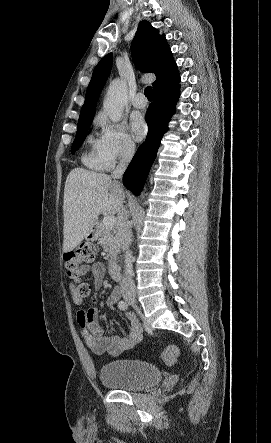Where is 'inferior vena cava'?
Returning <instances> with one entry per match:
<instances>
[{
	"label": "inferior vena cava",
	"mask_w": 271,
	"mask_h": 443,
	"mask_svg": "<svg viewBox=\"0 0 271 443\" xmlns=\"http://www.w3.org/2000/svg\"><path fill=\"white\" fill-rule=\"evenodd\" d=\"M135 152V144L131 142V140H127V142H122L120 148V164H118L116 170L112 172V178H116V180H122L123 174L129 164L131 162ZM128 212H126L125 208L122 206V214L120 216L119 225H118V233L121 241V247L123 251L128 249L131 241H132V229L128 223ZM122 293L121 296H136L137 290H135L133 286V279H131L130 275L124 273V277L122 279Z\"/></svg>",
	"instance_id": "602c4592"
}]
</instances>
